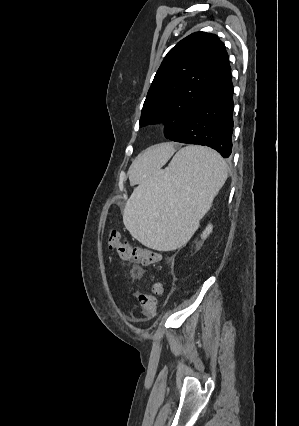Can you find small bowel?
<instances>
[{"mask_svg": "<svg viewBox=\"0 0 299 426\" xmlns=\"http://www.w3.org/2000/svg\"><path fill=\"white\" fill-rule=\"evenodd\" d=\"M143 270L142 269H140V268H135L134 269V272H133V278L134 279H139L140 277H142V275H143Z\"/></svg>", "mask_w": 299, "mask_h": 426, "instance_id": "obj_1", "label": "small bowel"}]
</instances>
